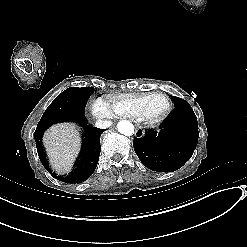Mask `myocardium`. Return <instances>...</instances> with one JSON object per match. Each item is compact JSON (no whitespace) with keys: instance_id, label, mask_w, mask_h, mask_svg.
<instances>
[{"instance_id":"f54148a6","label":"myocardium","mask_w":247,"mask_h":247,"mask_svg":"<svg viewBox=\"0 0 247 247\" xmlns=\"http://www.w3.org/2000/svg\"><path fill=\"white\" fill-rule=\"evenodd\" d=\"M169 106L168 96L160 92H154L148 96L145 105L139 112H141L142 120L146 124H153L165 116Z\"/></svg>"}]
</instances>
